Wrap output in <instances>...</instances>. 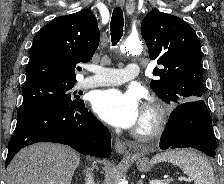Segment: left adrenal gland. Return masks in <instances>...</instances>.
I'll use <instances>...</instances> for the list:
<instances>
[{
  "mask_svg": "<svg viewBox=\"0 0 224 184\" xmlns=\"http://www.w3.org/2000/svg\"><path fill=\"white\" fill-rule=\"evenodd\" d=\"M137 184H143V181L140 179Z\"/></svg>",
  "mask_w": 224,
  "mask_h": 184,
  "instance_id": "obj_1",
  "label": "left adrenal gland"
}]
</instances>
